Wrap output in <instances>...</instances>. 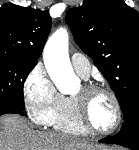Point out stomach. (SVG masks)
I'll return each instance as SVG.
<instances>
[{
	"label": "stomach",
	"mask_w": 139,
	"mask_h": 150,
	"mask_svg": "<svg viewBox=\"0 0 139 150\" xmlns=\"http://www.w3.org/2000/svg\"><path fill=\"white\" fill-rule=\"evenodd\" d=\"M96 150H115V149H113V148L99 147Z\"/></svg>",
	"instance_id": "1"
}]
</instances>
